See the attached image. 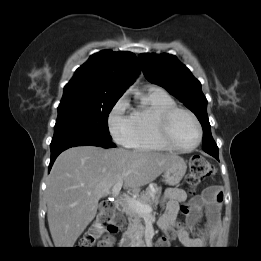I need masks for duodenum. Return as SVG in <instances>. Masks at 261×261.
Returning a JSON list of instances; mask_svg holds the SVG:
<instances>
[{
  "label": "duodenum",
  "mask_w": 261,
  "mask_h": 261,
  "mask_svg": "<svg viewBox=\"0 0 261 261\" xmlns=\"http://www.w3.org/2000/svg\"><path fill=\"white\" fill-rule=\"evenodd\" d=\"M117 211L118 215L114 216L108 225V232L112 234L117 232L118 228L122 226L124 221V210L120 203L117 204ZM138 242L139 240L135 238L134 243H130V245H135Z\"/></svg>",
  "instance_id": "duodenum-1"
}]
</instances>
